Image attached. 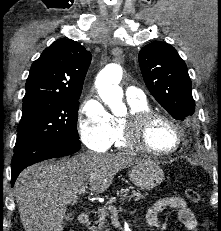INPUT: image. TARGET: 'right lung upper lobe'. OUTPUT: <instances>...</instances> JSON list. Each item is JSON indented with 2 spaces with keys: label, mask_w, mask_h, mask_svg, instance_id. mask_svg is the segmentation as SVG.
Instances as JSON below:
<instances>
[{
  "label": "right lung upper lobe",
  "mask_w": 221,
  "mask_h": 231,
  "mask_svg": "<svg viewBox=\"0 0 221 231\" xmlns=\"http://www.w3.org/2000/svg\"><path fill=\"white\" fill-rule=\"evenodd\" d=\"M91 53L78 42L58 39L32 64L23 101L80 97Z\"/></svg>",
  "instance_id": "obj_1"
}]
</instances>
